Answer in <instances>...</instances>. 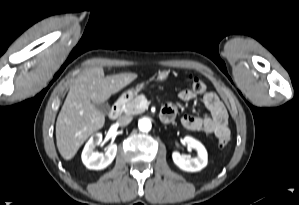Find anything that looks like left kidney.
Returning a JSON list of instances; mask_svg holds the SVG:
<instances>
[{"instance_id":"obj_1","label":"left kidney","mask_w":299,"mask_h":205,"mask_svg":"<svg viewBox=\"0 0 299 205\" xmlns=\"http://www.w3.org/2000/svg\"><path fill=\"white\" fill-rule=\"evenodd\" d=\"M184 142L188 148L195 149L197 156L195 158L186 159L183 155L178 152H173L172 158L174 163L181 169L187 172H197L203 169L207 165L208 154L204 145L198 140L186 136Z\"/></svg>"}]
</instances>
